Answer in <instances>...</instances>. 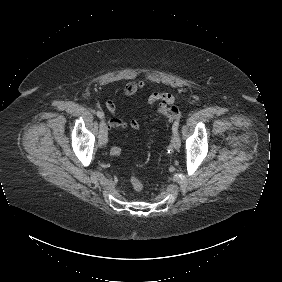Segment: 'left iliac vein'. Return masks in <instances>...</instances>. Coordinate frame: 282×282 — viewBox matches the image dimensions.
<instances>
[{
    "label": "left iliac vein",
    "mask_w": 282,
    "mask_h": 282,
    "mask_svg": "<svg viewBox=\"0 0 282 282\" xmlns=\"http://www.w3.org/2000/svg\"><path fill=\"white\" fill-rule=\"evenodd\" d=\"M172 145L175 150H178L181 146L180 134L179 132L173 133L172 135Z\"/></svg>",
    "instance_id": "4c4485c4"
}]
</instances>
